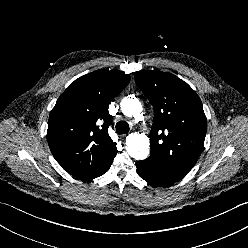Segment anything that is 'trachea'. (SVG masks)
<instances>
[{"label":"trachea","mask_w":248,"mask_h":248,"mask_svg":"<svg viewBox=\"0 0 248 248\" xmlns=\"http://www.w3.org/2000/svg\"><path fill=\"white\" fill-rule=\"evenodd\" d=\"M130 130L129 124L126 121H119L116 124V131L118 134H125L128 133Z\"/></svg>","instance_id":"obj_1"}]
</instances>
